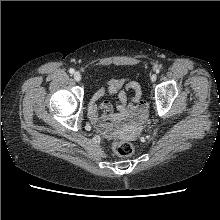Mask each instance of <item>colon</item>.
<instances>
[{"mask_svg":"<svg viewBox=\"0 0 220 220\" xmlns=\"http://www.w3.org/2000/svg\"><path fill=\"white\" fill-rule=\"evenodd\" d=\"M111 147L114 154L119 157H130L134 153V147L129 142L113 140Z\"/></svg>","mask_w":220,"mask_h":220,"instance_id":"colon-1","label":"colon"}]
</instances>
